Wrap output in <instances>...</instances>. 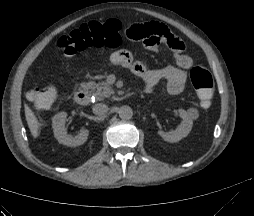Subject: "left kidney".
I'll use <instances>...</instances> for the list:
<instances>
[{"label":"left kidney","mask_w":254,"mask_h":216,"mask_svg":"<svg viewBox=\"0 0 254 216\" xmlns=\"http://www.w3.org/2000/svg\"><path fill=\"white\" fill-rule=\"evenodd\" d=\"M178 112L182 121L176 130L172 132H164L162 130L158 131V134L162 137L164 141L176 143L186 137L192 129L193 120L191 119L189 114L184 109H179Z\"/></svg>","instance_id":"1"}]
</instances>
